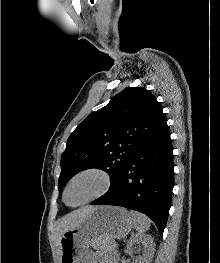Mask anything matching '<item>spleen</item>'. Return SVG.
<instances>
[{
    "label": "spleen",
    "mask_w": 220,
    "mask_h": 263,
    "mask_svg": "<svg viewBox=\"0 0 220 263\" xmlns=\"http://www.w3.org/2000/svg\"><path fill=\"white\" fill-rule=\"evenodd\" d=\"M131 216L134 221V226L139 233L146 232L150 227V221L146 216L139 212L131 211Z\"/></svg>",
    "instance_id": "spleen-1"
}]
</instances>
